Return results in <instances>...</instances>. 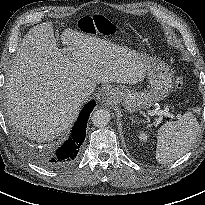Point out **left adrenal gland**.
Returning <instances> with one entry per match:
<instances>
[{
  "instance_id": "left-adrenal-gland-1",
  "label": "left adrenal gland",
  "mask_w": 205,
  "mask_h": 205,
  "mask_svg": "<svg viewBox=\"0 0 205 205\" xmlns=\"http://www.w3.org/2000/svg\"><path fill=\"white\" fill-rule=\"evenodd\" d=\"M130 120H131L132 123L137 122V120H134L132 117H130Z\"/></svg>"
}]
</instances>
